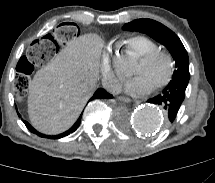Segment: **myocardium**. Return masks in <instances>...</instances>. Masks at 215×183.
I'll list each match as a JSON object with an SVG mask.
<instances>
[{
    "mask_svg": "<svg viewBox=\"0 0 215 183\" xmlns=\"http://www.w3.org/2000/svg\"><path fill=\"white\" fill-rule=\"evenodd\" d=\"M157 58H163L167 62L168 71L164 79H162L160 82H158L152 87L153 90H158L167 86L172 81L175 73V61L172 55L166 50L159 48L154 49L146 54L140 55L139 60L144 63H150Z\"/></svg>",
    "mask_w": 215,
    "mask_h": 183,
    "instance_id": "1",
    "label": "myocardium"
}]
</instances>
